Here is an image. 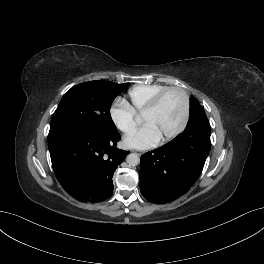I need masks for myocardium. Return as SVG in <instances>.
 <instances>
[{"mask_svg":"<svg viewBox=\"0 0 264 264\" xmlns=\"http://www.w3.org/2000/svg\"><path fill=\"white\" fill-rule=\"evenodd\" d=\"M176 91L178 93L181 94L182 98H183V115H182V119L181 122L179 124V126L170 134L164 136L162 138V142H169L173 139H175L176 137H178L186 128L188 120H189V114H190V100H189V95L187 94V92L180 88V87H176V86H172V87H167L164 90L160 91L152 100L151 102L147 105V107L144 109V111L142 112V116L146 115L148 113L153 112L154 110H156L158 108V106L160 105V103L162 102L163 98L170 92Z\"/></svg>","mask_w":264,"mask_h":264,"instance_id":"obj_1","label":"myocardium"}]
</instances>
